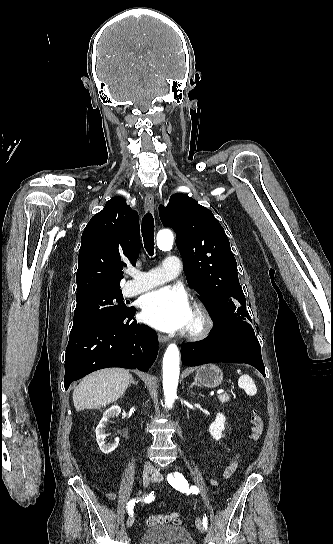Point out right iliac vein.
Masks as SVG:
<instances>
[{"mask_svg":"<svg viewBox=\"0 0 333 544\" xmlns=\"http://www.w3.org/2000/svg\"><path fill=\"white\" fill-rule=\"evenodd\" d=\"M143 485L144 487H147L150 480L152 479V471L148 470V469H145L144 472H143ZM134 523V516L131 515L129 516V518L127 519V527H131Z\"/></svg>","mask_w":333,"mask_h":544,"instance_id":"1","label":"right iliac vein"}]
</instances>
